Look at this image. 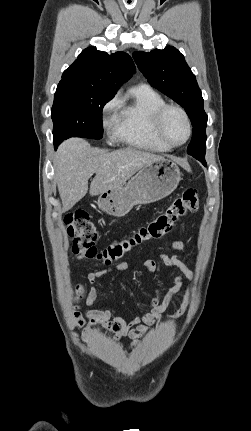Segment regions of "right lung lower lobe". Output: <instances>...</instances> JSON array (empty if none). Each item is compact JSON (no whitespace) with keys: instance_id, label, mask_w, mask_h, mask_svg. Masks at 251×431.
I'll return each instance as SVG.
<instances>
[{"instance_id":"obj_1","label":"right lung lower lobe","mask_w":251,"mask_h":431,"mask_svg":"<svg viewBox=\"0 0 251 431\" xmlns=\"http://www.w3.org/2000/svg\"><path fill=\"white\" fill-rule=\"evenodd\" d=\"M59 144H57L56 142H54V146H55V148H57V146H58Z\"/></svg>"}]
</instances>
